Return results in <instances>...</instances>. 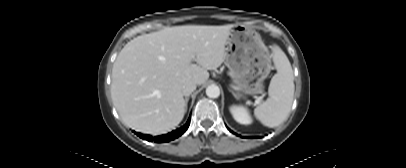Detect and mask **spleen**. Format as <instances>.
<instances>
[{"instance_id":"spleen-1","label":"spleen","mask_w":406,"mask_h":168,"mask_svg":"<svg viewBox=\"0 0 406 168\" xmlns=\"http://www.w3.org/2000/svg\"><path fill=\"white\" fill-rule=\"evenodd\" d=\"M272 57L277 73L268 88L269 97L254 110L255 117L265 126L273 128L289 116L294 98V77L286 54L278 47H272Z\"/></svg>"}]
</instances>
